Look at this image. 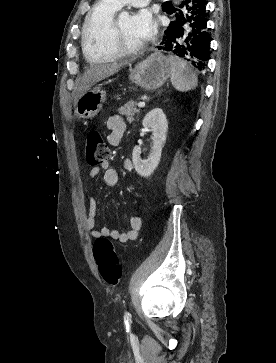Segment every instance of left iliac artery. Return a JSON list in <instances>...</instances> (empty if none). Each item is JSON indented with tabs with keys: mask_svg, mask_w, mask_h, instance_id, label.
I'll use <instances>...</instances> for the list:
<instances>
[{
	"mask_svg": "<svg viewBox=\"0 0 276 363\" xmlns=\"http://www.w3.org/2000/svg\"><path fill=\"white\" fill-rule=\"evenodd\" d=\"M125 317L127 319L126 323H128V319L130 318V314L128 312L125 313Z\"/></svg>",
	"mask_w": 276,
	"mask_h": 363,
	"instance_id": "44dca946",
	"label": "left iliac artery"
}]
</instances>
